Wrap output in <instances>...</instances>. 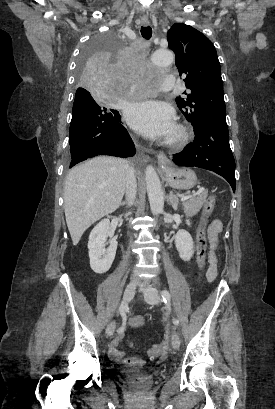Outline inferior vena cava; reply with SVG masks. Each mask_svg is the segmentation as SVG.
I'll list each match as a JSON object with an SVG mask.
<instances>
[{
	"label": "inferior vena cava",
	"instance_id": "602c4592",
	"mask_svg": "<svg viewBox=\"0 0 275 409\" xmlns=\"http://www.w3.org/2000/svg\"><path fill=\"white\" fill-rule=\"evenodd\" d=\"M136 176L134 174V168L133 166H129L127 164V170H126V196H127V205H133V200L136 196ZM134 281H138L137 277H134Z\"/></svg>",
	"mask_w": 275,
	"mask_h": 409
}]
</instances>
